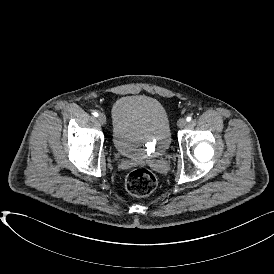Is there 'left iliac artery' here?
Here are the masks:
<instances>
[{
    "instance_id": "left-iliac-artery-1",
    "label": "left iliac artery",
    "mask_w": 274,
    "mask_h": 274,
    "mask_svg": "<svg viewBox=\"0 0 274 274\" xmlns=\"http://www.w3.org/2000/svg\"><path fill=\"white\" fill-rule=\"evenodd\" d=\"M186 120H187L188 122H190V121L192 120V118H191L190 116H188V117L186 118Z\"/></svg>"
}]
</instances>
